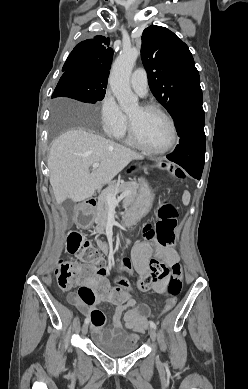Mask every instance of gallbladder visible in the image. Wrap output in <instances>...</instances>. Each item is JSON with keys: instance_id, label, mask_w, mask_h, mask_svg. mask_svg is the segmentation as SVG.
<instances>
[{"instance_id": "bac80fb5", "label": "gallbladder", "mask_w": 248, "mask_h": 389, "mask_svg": "<svg viewBox=\"0 0 248 389\" xmlns=\"http://www.w3.org/2000/svg\"><path fill=\"white\" fill-rule=\"evenodd\" d=\"M73 204L74 203L71 200L66 201L65 208H66L68 213H72V211H73Z\"/></svg>"}]
</instances>
